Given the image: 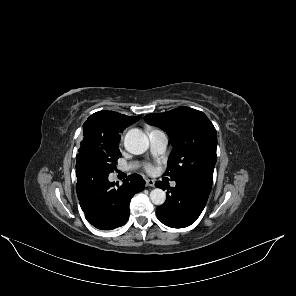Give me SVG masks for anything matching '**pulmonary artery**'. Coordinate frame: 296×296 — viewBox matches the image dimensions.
Here are the masks:
<instances>
[{
    "label": "pulmonary artery",
    "instance_id": "pulmonary-artery-1",
    "mask_svg": "<svg viewBox=\"0 0 296 296\" xmlns=\"http://www.w3.org/2000/svg\"><path fill=\"white\" fill-rule=\"evenodd\" d=\"M150 138V145L151 151L154 155H161L165 152L167 144H168V137L167 134L161 130H152L149 133ZM135 167L134 164H126L120 167V170L128 171ZM171 186H176V182H172Z\"/></svg>",
    "mask_w": 296,
    "mask_h": 296
}]
</instances>
